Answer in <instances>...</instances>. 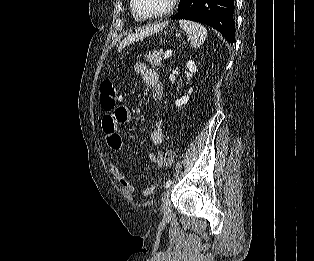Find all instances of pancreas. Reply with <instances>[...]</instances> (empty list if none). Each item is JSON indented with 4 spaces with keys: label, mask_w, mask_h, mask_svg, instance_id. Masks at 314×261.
I'll return each instance as SVG.
<instances>
[{
    "label": "pancreas",
    "mask_w": 314,
    "mask_h": 261,
    "mask_svg": "<svg viewBox=\"0 0 314 261\" xmlns=\"http://www.w3.org/2000/svg\"><path fill=\"white\" fill-rule=\"evenodd\" d=\"M163 54H164L163 50H156L153 51L152 53L147 54L145 57L149 65H151L152 67H158L162 65Z\"/></svg>",
    "instance_id": "obj_1"
}]
</instances>
